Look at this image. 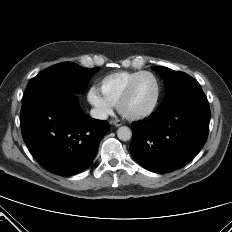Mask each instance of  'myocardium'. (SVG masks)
<instances>
[{"label":"myocardium","instance_id":"myocardium-1","mask_svg":"<svg viewBox=\"0 0 232 232\" xmlns=\"http://www.w3.org/2000/svg\"><path fill=\"white\" fill-rule=\"evenodd\" d=\"M144 75L151 76L154 79V81L156 82L157 92H156V97L154 99V102L152 103V105L148 109H146L140 113H136V114L126 113L124 111L123 107H124L125 103L130 99L136 82L138 81L139 78H141ZM161 94H162V86H161V82H160L159 78L154 73H152L150 71H141L128 84L127 88L125 89L124 93L122 94L121 98L119 99V101L117 103V109L123 117H125L129 120H140V119L146 118V117L150 116L158 107L160 99H161Z\"/></svg>","mask_w":232,"mask_h":232}]
</instances>
